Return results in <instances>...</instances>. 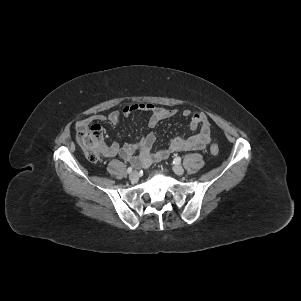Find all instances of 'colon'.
<instances>
[{"instance_id":"1","label":"colon","mask_w":301,"mask_h":301,"mask_svg":"<svg viewBox=\"0 0 301 301\" xmlns=\"http://www.w3.org/2000/svg\"><path fill=\"white\" fill-rule=\"evenodd\" d=\"M104 129L98 124H89L77 132V141L83 149L87 159L91 162H97L104 148ZM210 152L216 156L219 153L217 143L212 142Z\"/></svg>"}]
</instances>
